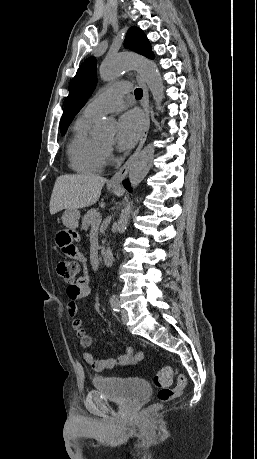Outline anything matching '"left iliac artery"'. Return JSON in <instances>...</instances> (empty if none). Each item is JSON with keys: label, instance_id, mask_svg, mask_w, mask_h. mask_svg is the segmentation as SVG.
<instances>
[{"label": "left iliac artery", "instance_id": "left-iliac-artery-1", "mask_svg": "<svg viewBox=\"0 0 257 459\" xmlns=\"http://www.w3.org/2000/svg\"><path fill=\"white\" fill-rule=\"evenodd\" d=\"M110 304H111L112 309L115 312H119L120 311V304H119L118 298L115 295H112L110 297Z\"/></svg>", "mask_w": 257, "mask_h": 459}]
</instances>
